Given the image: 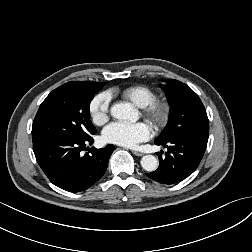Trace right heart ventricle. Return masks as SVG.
Here are the masks:
<instances>
[{
	"label": "right heart ventricle",
	"mask_w": 252,
	"mask_h": 252,
	"mask_svg": "<svg viewBox=\"0 0 252 252\" xmlns=\"http://www.w3.org/2000/svg\"><path fill=\"white\" fill-rule=\"evenodd\" d=\"M123 98L132 102L135 106L144 108L156 100V93L145 85H133L120 91Z\"/></svg>",
	"instance_id": "e07e8e85"
}]
</instances>
